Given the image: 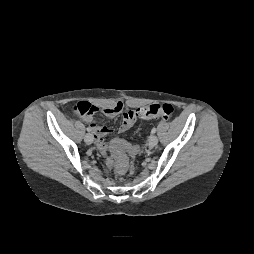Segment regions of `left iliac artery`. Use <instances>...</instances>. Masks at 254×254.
<instances>
[{"mask_svg": "<svg viewBox=\"0 0 254 254\" xmlns=\"http://www.w3.org/2000/svg\"><path fill=\"white\" fill-rule=\"evenodd\" d=\"M156 128L154 127L152 130H151V133L154 134L156 132Z\"/></svg>", "mask_w": 254, "mask_h": 254, "instance_id": "44dca946", "label": "left iliac artery"}]
</instances>
